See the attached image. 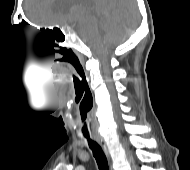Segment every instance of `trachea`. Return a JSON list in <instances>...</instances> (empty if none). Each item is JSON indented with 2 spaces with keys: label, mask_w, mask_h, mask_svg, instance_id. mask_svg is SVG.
<instances>
[{
  "label": "trachea",
  "mask_w": 190,
  "mask_h": 170,
  "mask_svg": "<svg viewBox=\"0 0 190 170\" xmlns=\"http://www.w3.org/2000/svg\"><path fill=\"white\" fill-rule=\"evenodd\" d=\"M88 140V144L90 149L93 152V156L96 159L99 170H109L107 158L102 150V148L93 140L89 138V136H85Z\"/></svg>",
  "instance_id": "trachea-1"
}]
</instances>
